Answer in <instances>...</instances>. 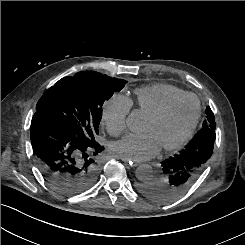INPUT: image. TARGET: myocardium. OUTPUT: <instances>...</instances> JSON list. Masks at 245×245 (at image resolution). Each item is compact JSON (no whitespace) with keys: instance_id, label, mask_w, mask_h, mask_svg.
I'll return each instance as SVG.
<instances>
[{"instance_id":"obj_1","label":"myocardium","mask_w":245,"mask_h":245,"mask_svg":"<svg viewBox=\"0 0 245 245\" xmlns=\"http://www.w3.org/2000/svg\"><path fill=\"white\" fill-rule=\"evenodd\" d=\"M186 98H194L196 100V103H197L196 115L193 119V122L191 123V125L189 126L187 131L184 133V135L177 142H175L171 145L163 146L162 150H164V151H174V150L180 149L191 138V136H192V134H193L198 122H199L200 115H201L200 99L195 94L185 93L183 95L169 99L163 105H161L157 110H155L154 112H152L146 116V118L149 120H157V119L161 118L162 116H164L173 105H175L177 102H179L183 99H186Z\"/></svg>"}]
</instances>
